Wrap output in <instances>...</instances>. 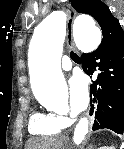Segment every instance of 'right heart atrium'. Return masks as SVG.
Segmentation results:
<instances>
[{"instance_id":"1","label":"right heart atrium","mask_w":124,"mask_h":149,"mask_svg":"<svg viewBox=\"0 0 124 149\" xmlns=\"http://www.w3.org/2000/svg\"><path fill=\"white\" fill-rule=\"evenodd\" d=\"M58 118H59V120L61 121V123L64 124L65 126H66L67 124H69V122H70V119L67 118V117H65V116H58Z\"/></svg>"}]
</instances>
